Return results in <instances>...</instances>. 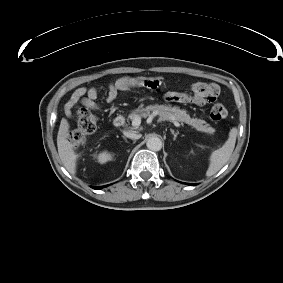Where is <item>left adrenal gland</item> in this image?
Masks as SVG:
<instances>
[{"instance_id": "obj_1", "label": "left adrenal gland", "mask_w": 283, "mask_h": 283, "mask_svg": "<svg viewBox=\"0 0 283 283\" xmlns=\"http://www.w3.org/2000/svg\"><path fill=\"white\" fill-rule=\"evenodd\" d=\"M170 131H171L172 135L174 136L173 140H176L179 132H175L173 129H170Z\"/></svg>"}]
</instances>
